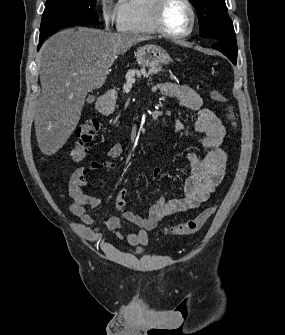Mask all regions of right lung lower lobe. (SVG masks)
Masks as SVG:
<instances>
[{
	"label": "right lung lower lobe",
	"instance_id": "1",
	"mask_svg": "<svg viewBox=\"0 0 285 335\" xmlns=\"http://www.w3.org/2000/svg\"><path fill=\"white\" fill-rule=\"evenodd\" d=\"M44 40H45V39H40V38H39V42H40V43H39V45H38V50L40 49V47H41L42 43L44 42Z\"/></svg>",
	"mask_w": 285,
	"mask_h": 335
}]
</instances>
